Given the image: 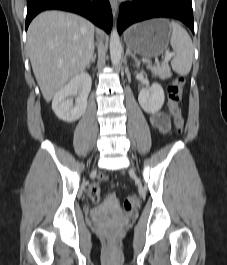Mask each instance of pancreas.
<instances>
[{
    "label": "pancreas",
    "mask_w": 227,
    "mask_h": 265,
    "mask_svg": "<svg viewBox=\"0 0 227 265\" xmlns=\"http://www.w3.org/2000/svg\"><path fill=\"white\" fill-rule=\"evenodd\" d=\"M149 68L151 69V71L158 74L160 78L163 80L171 77L172 75L170 67L168 66L167 63H163L162 65H157V66H151Z\"/></svg>",
    "instance_id": "pancreas-1"
}]
</instances>
